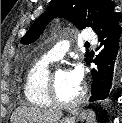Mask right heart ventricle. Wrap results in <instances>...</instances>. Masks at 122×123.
Returning <instances> with one entry per match:
<instances>
[{
	"label": "right heart ventricle",
	"instance_id": "1",
	"mask_svg": "<svg viewBox=\"0 0 122 123\" xmlns=\"http://www.w3.org/2000/svg\"><path fill=\"white\" fill-rule=\"evenodd\" d=\"M53 60L44 56L30 67L26 74L24 94L29 103L38 107H48L53 103L47 94L49 66Z\"/></svg>",
	"mask_w": 122,
	"mask_h": 123
}]
</instances>
